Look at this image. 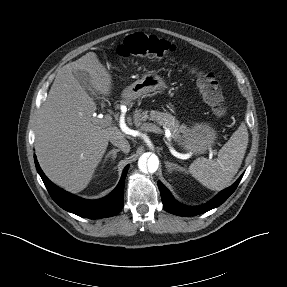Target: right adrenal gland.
<instances>
[{"instance_id":"obj_1","label":"right adrenal gland","mask_w":287,"mask_h":287,"mask_svg":"<svg viewBox=\"0 0 287 287\" xmlns=\"http://www.w3.org/2000/svg\"><path fill=\"white\" fill-rule=\"evenodd\" d=\"M119 151H120V149H112V150H110L107 153V155L105 156V159H104L103 163H105L108 160L109 157H111L112 160L114 161L116 159V157H117V152H119Z\"/></svg>"}]
</instances>
